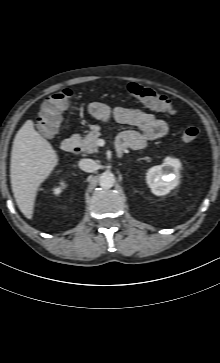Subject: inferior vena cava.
<instances>
[{"label": "inferior vena cava", "mask_w": 220, "mask_h": 363, "mask_svg": "<svg viewBox=\"0 0 220 363\" xmlns=\"http://www.w3.org/2000/svg\"><path fill=\"white\" fill-rule=\"evenodd\" d=\"M79 167L85 172H94L98 169V164L92 159H81Z\"/></svg>", "instance_id": "obj_1"}]
</instances>
